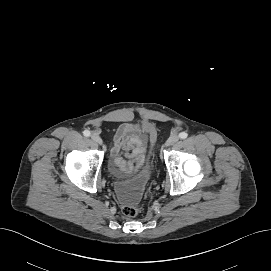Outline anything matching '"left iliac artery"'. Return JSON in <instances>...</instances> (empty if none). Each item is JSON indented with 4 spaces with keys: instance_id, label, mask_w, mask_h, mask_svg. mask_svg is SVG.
Segmentation results:
<instances>
[{
    "instance_id": "1",
    "label": "left iliac artery",
    "mask_w": 271,
    "mask_h": 271,
    "mask_svg": "<svg viewBox=\"0 0 271 271\" xmlns=\"http://www.w3.org/2000/svg\"><path fill=\"white\" fill-rule=\"evenodd\" d=\"M179 137H180L181 139H186V138L188 137V134H187L186 132H181V133L179 134Z\"/></svg>"
}]
</instances>
